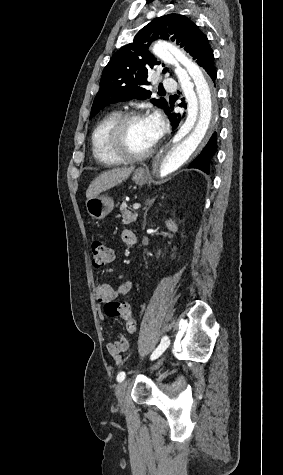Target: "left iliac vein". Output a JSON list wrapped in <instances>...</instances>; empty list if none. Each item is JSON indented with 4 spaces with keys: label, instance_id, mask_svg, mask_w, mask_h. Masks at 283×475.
Listing matches in <instances>:
<instances>
[{
    "label": "left iliac vein",
    "instance_id": "1",
    "mask_svg": "<svg viewBox=\"0 0 283 475\" xmlns=\"http://www.w3.org/2000/svg\"><path fill=\"white\" fill-rule=\"evenodd\" d=\"M162 364V359H160L154 366L152 369L154 370H157L160 368ZM128 386H129V381L128 380H124L122 381L121 383H119L116 387V397H117V400H118V404L121 408H124L125 405H126V399H125V393L128 389Z\"/></svg>",
    "mask_w": 283,
    "mask_h": 475
}]
</instances>
